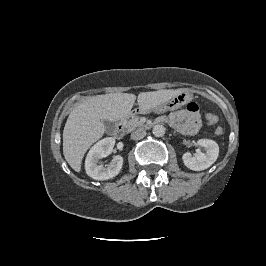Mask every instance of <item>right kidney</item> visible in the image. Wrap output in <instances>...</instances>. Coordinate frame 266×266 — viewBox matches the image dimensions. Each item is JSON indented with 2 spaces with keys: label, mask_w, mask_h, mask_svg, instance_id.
<instances>
[{
  "label": "right kidney",
  "mask_w": 266,
  "mask_h": 266,
  "mask_svg": "<svg viewBox=\"0 0 266 266\" xmlns=\"http://www.w3.org/2000/svg\"><path fill=\"white\" fill-rule=\"evenodd\" d=\"M115 145L112 137L104 138L97 142L88 152L85 160V170L88 176L95 180H108L120 172L123 166V158L115 156L112 161L103 166L99 165L100 159L108 156Z\"/></svg>",
  "instance_id": "obj_1"
}]
</instances>
